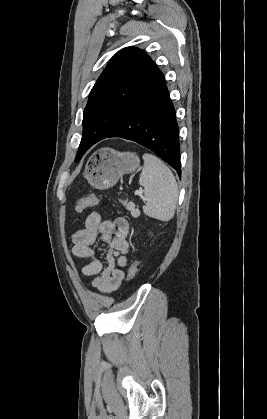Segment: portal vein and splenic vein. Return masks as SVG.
Returning a JSON list of instances; mask_svg holds the SVG:
<instances>
[{
	"instance_id": "1",
	"label": "portal vein and splenic vein",
	"mask_w": 267,
	"mask_h": 419,
	"mask_svg": "<svg viewBox=\"0 0 267 419\" xmlns=\"http://www.w3.org/2000/svg\"><path fill=\"white\" fill-rule=\"evenodd\" d=\"M143 193V191L142 190H136L135 192H134V194L135 195H141Z\"/></svg>"
}]
</instances>
